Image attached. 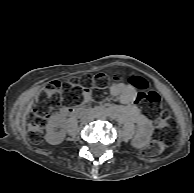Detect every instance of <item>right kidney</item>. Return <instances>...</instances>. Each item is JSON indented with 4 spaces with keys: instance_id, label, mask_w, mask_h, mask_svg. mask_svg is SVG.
<instances>
[{
    "instance_id": "obj_1",
    "label": "right kidney",
    "mask_w": 194,
    "mask_h": 193,
    "mask_svg": "<svg viewBox=\"0 0 194 193\" xmlns=\"http://www.w3.org/2000/svg\"><path fill=\"white\" fill-rule=\"evenodd\" d=\"M62 122L59 116L54 115L49 118L46 125V141L49 144L57 145L60 144L65 138V131L60 129L57 131V128H62Z\"/></svg>"
}]
</instances>
